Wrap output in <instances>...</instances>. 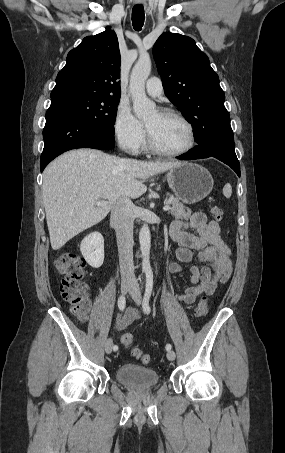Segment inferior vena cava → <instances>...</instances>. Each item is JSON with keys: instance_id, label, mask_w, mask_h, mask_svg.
<instances>
[{"instance_id": "obj_1", "label": "inferior vena cava", "mask_w": 285, "mask_h": 453, "mask_svg": "<svg viewBox=\"0 0 285 453\" xmlns=\"http://www.w3.org/2000/svg\"><path fill=\"white\" fill-rule=\"evenodd\" d=\"M110 223L115 228L121 280L136 283L133 264L134 204L129 198L118 199L111 210Z\"/></svg>"}]
</instances>
